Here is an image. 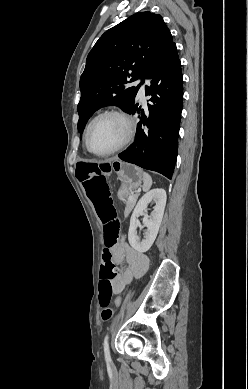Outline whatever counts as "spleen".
I'll use <instances>...</instances> for the list:
<instances>
[{
    "label": "spleen",
    "mask_w": 248,
    "mask_h": 389,
    "mask_svg": "<svg viewBox=\"0 0 248 389\" xmlns=\"http://www.w3.org/2000/svg\"><path fill=\"white\" fill-rule=\"evenodd\" d=\"M142 176H143V187H142L143 191H148L152 186V178L148 173L143 171H142Z\"/></svg>",
    "instance_id": "spleen-1"
}]
</instances>
